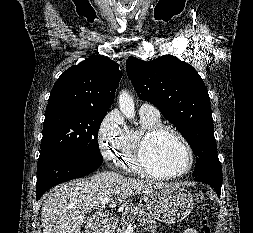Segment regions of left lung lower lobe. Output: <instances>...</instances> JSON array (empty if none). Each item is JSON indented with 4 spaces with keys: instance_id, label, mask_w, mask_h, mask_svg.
<instances>
[{
    "instance_id": "left-lung-lower-lobe-1",
    "label": "left lung lower lobe",
    "mask_w": 253,
    "mask_h": 233,
    "mask_svg": "<svg viewBox=\"0 0 253 233\" xmlns=\"http://www.w3.org/2000/svg\"><path fill=\"white\" fill-rule=\"evenodd\" d=\"M194 180L211 185L216 190L217 195L220 196L222 178L215 177V176H212V175H200V176H196L194 178Z\"/></svg>"
}]
</instances>
